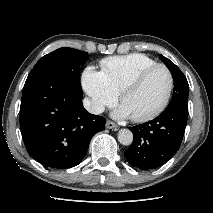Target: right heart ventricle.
Listing matches in <instances>:
<instances>
[{"mask_svg": "<svg viewBox=\"0 0 213 213\" xmlns=\"http://www.w3.org/2000/svg\"><path fill=\"white\" fill-rule=\"evenodd\" d=\"M155 64L154 59L139 53L111 56L100 61L101 72L116 95L138 72Z\"/></svg>", "mask_w": 213, "mask_h": 213, "instance_id": "1", "label": "right heart ventricle"}]
</instances>
